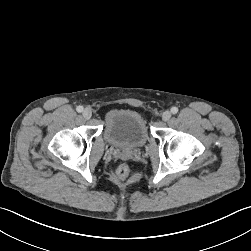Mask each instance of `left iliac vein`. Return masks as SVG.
Instances as JSON below:
<instances>
[{
    "label": "left iliac vein",
    "instance_id": "left-iliac-vein-1",
    "mask_svg": "<svg viewBox=\"0 0 251 251\" xmlns=\"http://www.w3.org/2000/svg\"><path fill=\"white\" fill-rule=\"evenodd\" d=\"M172 114L170 111H164L162 114L163 121H168L171 118Z\"/></svg>",
    "mask_w": 251,
    "mask_h": 251
}]
</instances>
